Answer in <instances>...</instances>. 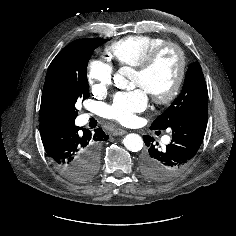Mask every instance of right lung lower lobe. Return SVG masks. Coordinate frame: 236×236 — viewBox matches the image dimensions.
<instances>
[{
	"mask_svg": "<svg viewBox=\"0 0 236 236\" xmlns=\"http://www.w3.org/2000/svg\"><path fill=\"white\" fill-rule=\"evenodd\" d=\"M44 149L53 163L73 181H83L82 174L95 156L99 145L108 139L101 128L91 132L75 125V119L40 123Z\"/></svg>",
	"mask_w": 236,
	"mask_h": 236,
	"instance_id": "1",
	"label": "right lung lower lobe"
}]
</instances>
